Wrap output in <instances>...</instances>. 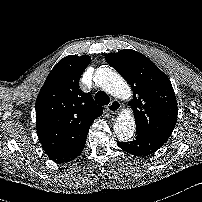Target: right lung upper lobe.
I'll return each mask as SVG.
<instances>
[{"mask_svg":"<svg viewBox=\"0 0 202 202\" xmlns=\"http://www.w3.org/2000/svg\"><path fill=\"white\" fill-rule=\"evenodd\" d=\"M88 55H69L49 73L36 101L37 135L48 157L61 163L82 145L94 119L102 115L79 79L90 63Z\"/></svg>","mask_w":202,"mask_h":202,"instance_id":"right-lung-upper-lobe-1","label":"right lung upper lobe"}]
</instances>
